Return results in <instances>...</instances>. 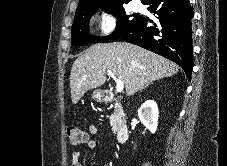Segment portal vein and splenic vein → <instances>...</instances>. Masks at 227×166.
<instances>
[{
	"instance_id": "portal-vein-and-splenic-vein-1",
	"label": "portal vein and splenic vein",
	"mask_w": 227,
	"mask_h": 166,
	"mask_svg": "<svg viewBox=\"0 0 227 166\" xmlns=\"http://www.w3.org/2000/svg\"><path fill=\"white\" fill-rule=\"evenodd\" d=\"M107 73H108V75H110V76L114 79V81L116 82V91H117L118 93H121V92L123 91V89H124V83H123L120 79L116 78V76L114 75V73H113L111 70H107Z\"/></svg>"
}]
</instances>
